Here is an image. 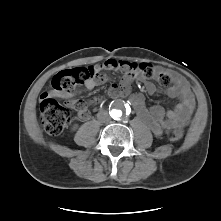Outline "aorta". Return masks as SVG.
<instances>
[{
  "label": "aorta",
  "mask_w": 221,
  "mask_h": 221,
  "mask_svg": "<svg viewBox=\"0 0 221 221\" xmlns=\"http://www.w3.org/2000/svg\"><path fill=\"white\" fill-rule=\"evenodd\" d=\"M111 113L114 119H119L123 115V109L122 108L113 109Z\"/></svg>",
  "instance_id": "aorta-1"
}]
</instances>
